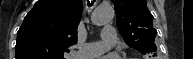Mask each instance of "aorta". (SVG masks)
Wrapping results in <instances>:
<instances>
[{
	"mask_svg": "<svg viewBox=\"0 0 193 59\" xmlns=\"http://www.w3.org/2000/svg\"><path fill=\"white\" fill-rule=\"evenodd\" d=\"M114 15V8L110 4H102L94 9L91 20L94 25L100 26L111 22Z\"/></svg>",
	"mask_w": 193,
	"mask_h": 59,
	"instance_id": "1",
	"label": "aorta"
}]
</instances>
